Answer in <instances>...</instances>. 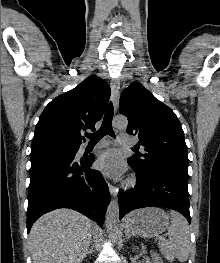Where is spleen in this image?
I'll return each instance as SVG.
<instances>
[{"label":"spleen","mask_w":220,"mask_h":263,"mask_svg":"<svg viewBox=\"0 0 220 263\" xmlns=\"http://www.w3.org/2000/svg\"><path fill=\"white\" fill-rule=\"evenodd\" d=\"M171 225L168 228V252L180 262L188 259L190 251V232L187 220L179 213L171 211Z\"/></svg>","instance_id":"1"}]
</instances>
